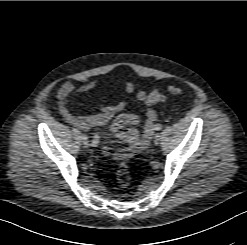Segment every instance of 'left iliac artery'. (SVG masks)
Listing matches in <instances>:
<instances>
[{"instance_id": "1", "label": "left iliac artery", "mask_w": 247, "mask_h": 245, "mask_svg": "<svg viewBox=\"0 0 247 245\" xmlns=\"http://www.w3.org/2000/svg\"><path fill=\"white\" fill-rule=\"evenodd\" d=\"M162 126L160 124L155 125V130H161Z\"/></svg>"}]
</instances>
